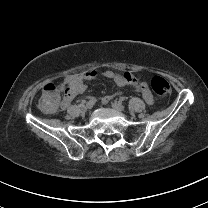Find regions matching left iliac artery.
Segmentation results:
<instances>
[{
  "instance_id": "44dca946",
  "label": "left iliac artery",
  "mask_w": 208,
  "mask_h": 208,
  "mask_svg": "<svg viewBox=\"0 0 208 208\" xmlns=\"http://www.w3.org/2000/svg\"><path fill=\"white\" fill-rule=\"evenodd\" d=\"M125 100V97H120L119 98V102H122V101H124Z\"/></svg>"
}]
</instances>
